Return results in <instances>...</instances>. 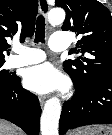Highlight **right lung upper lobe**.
<instances>
[{"label":"right lung upper lobe","mask_w":112,"mask_h":135,"mask_svg":"<svg viewBox=\"0 0 112 135\" xmlns=\"http://www.w3.org/2000/svg\"><path fill=\"white\" fill-rule=\"evenodd\" d=\"M37 9L38 0H0V61H5L14 35L24 41L34 34Z\"/></svg>","instance_id":"obj_1"}]
</instances>
